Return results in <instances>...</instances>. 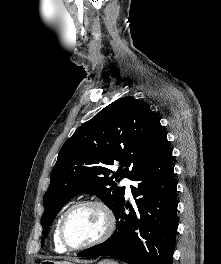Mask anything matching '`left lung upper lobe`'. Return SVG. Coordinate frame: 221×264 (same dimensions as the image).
Wrapping results in <instances>:
<instances>
[{
	"mask_svg": "<svg viewBox=\"0 0 221 264\" xmlns=\"http://www.w3.org/2000/svg\"><path fill=\"white\" fill-rule=\"evenodd\" d=\"M166 136L150 107L131 96L114 101L79 127L64 143L51 173L43 200V237L60 209L80 193L97 195L114 212L125 192L114 179L139 174ZM114 162L120 165L117 173L110 169Z\"/></svg>",
	"mask_w": 221,
	"mask_h": 264,
	"instance_id": "1",
	"label": "left lung upper lobe"
}]
</instances>
